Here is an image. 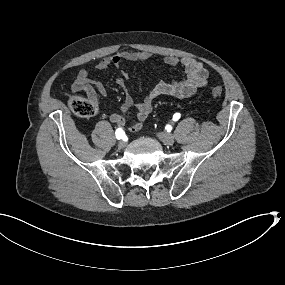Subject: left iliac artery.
<instances>
[{
  "label": "left iliac artery",
  "mask_w": 285,
  "mask_h": 285,
  "mask_svg": "<svg viewBox=\"0 0 285 285\" xmlns=\"http://www.w3.org/2000/svg\"><path fill=\"white\" fill-rule=\"evenodd\" d=\"M180 118V113H175L173 115V121H177Z\"/></svg>",
  "instance_id": "44dca946"
}]
</instances>
